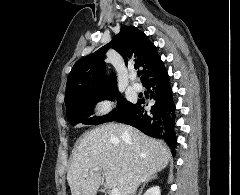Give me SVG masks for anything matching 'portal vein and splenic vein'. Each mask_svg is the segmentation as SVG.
<instances>
[{"label": "portal vein and splenic vein", "instance_id": "1", "mask_svg": "<svg viewBox=\"0 0 240 195\" xmlns=\"http://www.w3.org/2000/svg\"><path fill=\"white\" fill-rule=\"evenodd\" d=\"M101 167H93V171H100ZM84 177H87V175H84ZM111 195H121V191L117 189V187H113L111 189Z\"/></svg>", "mask_w": 240, "mask_h": 195}]
</instances>
